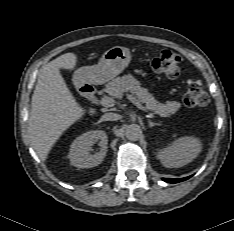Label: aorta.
Instances as JSON below:
<instances>
[{
  "label": "aorta",
  "mask_w": 234,
  "mask_h": 231,
  "mask_svg": "<svg viewBox=\"0 0 234 231\" xmlns=\"http://www.w3.org/2000/svg\"><path fill=\"white\" fill-rule=\"evenodd\" d=\"M125 134L129 140L135 141L141 136L142 130L139 125L131 124L126 127Z\"/></svg>",
  "instance_id": "aorta-1"
}]
</instances>
